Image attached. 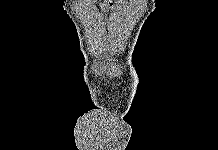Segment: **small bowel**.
<instances>
[{
	"label": "small bowel",
	"mask_w": 218,
	"mask_h": 150,
	"mask_svg": "<svg viewBox=\"0 0 218 150\" xmlns=\"http://www.w3.org/2000/svg\"><path fill=\"white\" fill-rule=\"evenodd\" d=\"M106 1H108V2L105 3V8L109 10V9L112 8V5H111V3L109 2V0H106Z\"/></svg>",
	"instance_id": "obj_1"
}]
</instances>
